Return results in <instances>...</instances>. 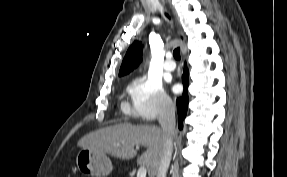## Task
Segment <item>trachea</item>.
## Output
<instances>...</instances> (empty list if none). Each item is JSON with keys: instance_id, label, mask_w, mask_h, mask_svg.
I'll use <instances>...</instances> for the list:
<instances>
[{"instance_id": "1", "label": "trachea", "mask_w": 287, "mask_h": 177, "mask_svg": "<svg viewBox=\"0 0 287 177\" xmlns=\"http://www.w3.org/2000/svg\"><path fill=\"white\" fill-rule=\"evenodd\" d=\"M173 56L176 60H180L181 56H180V48H176L174 51H173Z\"/></svg>"}]
</instances>
